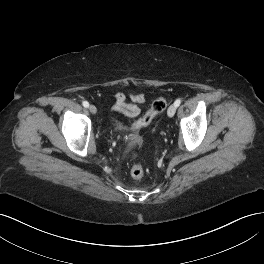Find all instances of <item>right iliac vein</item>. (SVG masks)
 <instances>
[{"mask_svg": "<svg viewBox=\"0 0 264 264\" xmlns=\"http://www.w3.org/2000/svg\"><path fill=\"white\" fill-rule=\"evenodd\" d=\"M89 111H90L92 114H96V112H97V108H96L94 105H90V106H89Z\"/></svg>", "mask_w": 264, "mask_h": 264, "instance_id": "right-iliac-vein-1", "label": "right iliac vein"}]
</instances>
